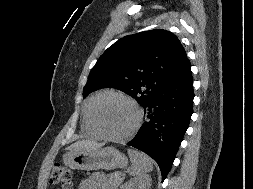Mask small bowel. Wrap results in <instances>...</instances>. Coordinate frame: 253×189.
<instances>
[{"mask_svg":"<svg viewBox=\"0 0 253 189\" xmlns=\"http://www.w3.org/2000/svg\"><path fill=\"white\" fill-rule=\"evenodd\" d=\"M109 185L102 173H94L84 180L79 189H109Z\"/></svg>","mask_w":253,"mask_h":189,"instance_id":"c3829d8e","label":"small bowel"}]
</instances>
